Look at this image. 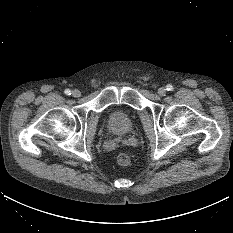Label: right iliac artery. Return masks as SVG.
<instances>
[{"label": "right iliac artery", "instance_id": "right-iliac-artery-1", "mask_svg": "<svg viewBox=\"0 0 233 233\" xmlns=\"http://www.w3.org/2000/svg\"><path fill=\"white\" fill-rule=\"evenodd\" d=\"M65 94H66V95H71V91H70L69 89H66V90H65Z\"/></svg>", "mask_w": 233, "mask_h": 233}]
</instances>
